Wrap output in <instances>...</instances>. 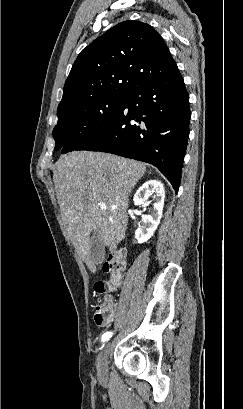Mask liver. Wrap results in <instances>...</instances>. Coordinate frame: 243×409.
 Instances as JSON below:
<instances>
[{
	"label": "liver",
	"instance_id": "6515ba94",
	"mask_svg": "<svg viewBox=\"0 0 243 409\" xmlns=\"http://www.w3.org/2000/svg\"><path fill=\"white\" fill-rule=\"evenodd\" d=\"M145 171L143 163L101 152H72L57 161L53 180L62 220L92 272L96 266L91 259V233L105 246L125 238L129 195ZM100 202L106 210H101Z\"/></svg>",
	"mask_w": 243,
	"mask_h": 409
}]
</instances>
